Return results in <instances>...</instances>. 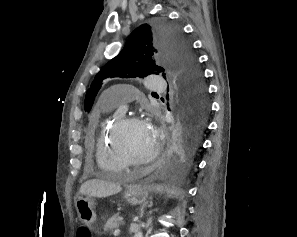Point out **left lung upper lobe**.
<instances>
[{"mask_svg":"<svg viewBox=\"0 0 297 237\" xmlns=\"http://www.w3.org/2000/svg\"><path fill=\"white\" fill-rule=\"evenodd\" d=\"M156 59L169 62L175 69L178 92L198 105L207 104L205 84L190 44L179 28L158 21L153 26L143 24L136 28L124 49L100 70L86 94L85 110H90L106 78L143 77L163 72L164 69L155 64Z\"/></svg>","mask_w":297,"mask_h":237,"instance_id":"left-lung-upper-lobe-1","label":"left lung upper lobe"}]
</instances>
